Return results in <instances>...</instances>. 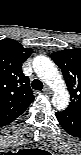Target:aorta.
Instances as JSON below:
<instances>
[{"instance_id": "1", "label": "aorta", "mask_w": 81, "mask_h": 155, "mask_svg": "<svg viewBox=\"0 0 81 155\" xmlns=\"http://www.w3.org/2000/svg\"><path fill=\"white\" fill-rule=\"evenodd\" d=\"M35 67L40 77L54 90V104L64 107L68 102L69 94L57 68L45 57L37 59Z\"/></svg>"}]
</instances>
